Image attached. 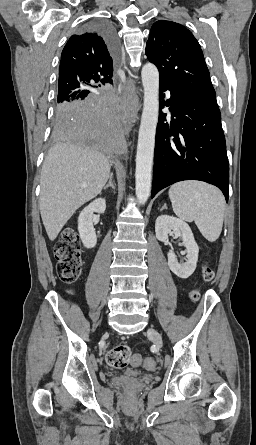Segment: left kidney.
<instances>
[{"label": "left kidney", "instance_id": "5707ae66", "mask_svg": "<svg viewBox=\"0 0 256 445\" xmlns=\"http://www.w3.org/2000/svg\"><path fill=\"white\" fill-rule=\"evenodd\" d=\"M173 231L176 238H182V245L186 248V261L179 263L174 252H168V266L170 270L182 279L193 274L198 260L199 247L194 239L189 225L178 218L161 215L156 219L155 233L159 241H166L168 235Z\"/></svg>", "mask_w": 256, "mask_h": 445}]
</instances>
